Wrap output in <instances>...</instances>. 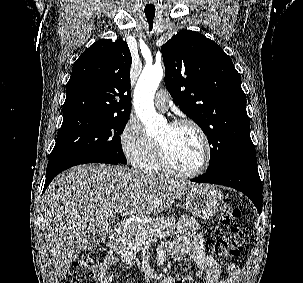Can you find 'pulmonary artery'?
<instances>
[{
	"label": "pulmonary artery",
	"mask_w": 303,
	"mask_h": 283,
	"mask_svg": "<svg viewBox=\"0 0 303 283\" xmlns=\"http://www.w3.org/2000/svg\"><path fill=\"white\" fill-rule=\"evenodd\" d=\"M154 103L157 109L166 111L169 105V95L166 90H160L157 92Z\"/></svg>",
	"instance_id": "e3ab8cb5"
}]
</instances>
